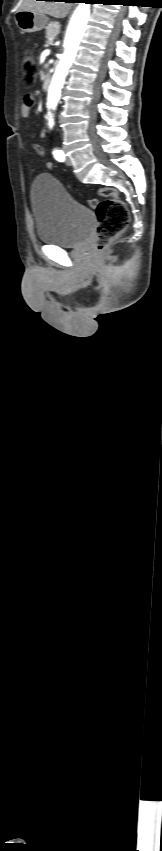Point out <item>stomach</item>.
Returning <instances> with one entry per match:
<instances>
[{
  "label": "stomach",
  "instance_id": "stomach-1",
  "mask_svg": "<svg viewBox=\"0 0 162 851\" xmlns=\"http://www.w3.org/2000/svg\"><path fill=\"white\" fill-rule=\"evenodd\" d=\"M18 28L24 33H32L42 30L48 19L45 15L29 10L18 11L15 15Z\"/></svg>",
  "mask_w": 162,
  "mask_h": 851
}]
</instances>
